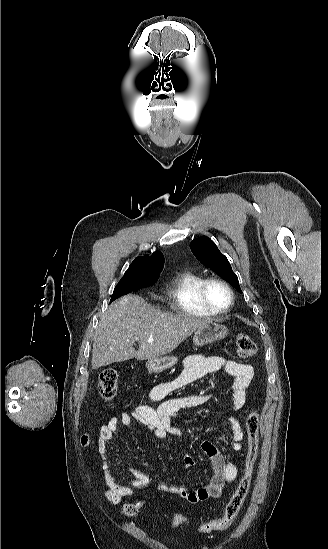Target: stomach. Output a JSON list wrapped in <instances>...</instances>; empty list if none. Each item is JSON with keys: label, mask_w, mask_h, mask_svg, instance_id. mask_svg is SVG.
Returning a JSON list of instances; mask_svg holds the SVG:
<instances>
[{"label": "stomach", "mask_w": 328, "mask_h": 549, "mask_svg": "<svg viewBox=\"0 0 328 549\" xmlns=\"http://www.w3.org/2000/svg\"><path fill=\"white\" fill-rule=\"evenodd\" d=\"M226 335H228L227 327L211 319L206 325L195 331L193 343L196 347H203V345H210L214 341L224 339ZM177 361V357H169V355H166V357H156V359H148L146 369L149 373H161V371H165V369H170V367L176 365Z\"/></svg>", "instance_id": "obj_1"}]
</instances>
